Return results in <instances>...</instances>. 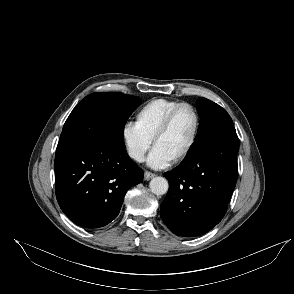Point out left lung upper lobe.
Wrapping results in <instances>:
<instances>
[{
	"mask_svg": "<svg viewBox=\"0 0 294 294\" xmlns=\"http://www.w3.org/2000/svg\"><path fill=\"white\" fill-rule=\"evenodd\" d=\"M197 109L200 115V123L195 142L188 153L193 150L194 145L199 141L224 132H236L231 117L218 104L201 97L197 101Z\"/></svg>",
	"mask_w": 294,
	"mask_h": 294,
	"instance_id": "obj_1",
	"label": "left lung upper lobe"
}]
</instances>
